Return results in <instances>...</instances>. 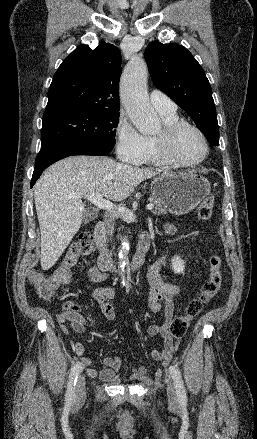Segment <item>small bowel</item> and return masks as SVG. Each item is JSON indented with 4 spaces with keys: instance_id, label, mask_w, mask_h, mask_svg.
Listing matches in <instances>:
<instances>
[{
    "instance_id": "small-bowel-1",
    "label": "small bowel",
    "mask_w": 257,
    "mask_h": 439,
    "mask_svg": "<svg viewBox=\"0 0 257 439\" xmlns=\"http://www.w3.org/2000/svg\"><path fill=\"white\" fill-rule=\"evenodd\" d=\"M166 230L169 234L175 233L173 226H167ZM148 237L142 235L141 238ZM149 239V238H148ZM166 256H161L149 268L148 282H149V297L148 308L152 312L164 313V322L161 324L150 325L147 333L150 336H161L164 339V349L152 350V358L164 365L171 362L174 353L176 352L181 339L174 340L168 333L170 321L174 314V297L179 293V287L169 281H166L161 276V270L166 264ZM90 279L93 282H101L105 277L97 270H91ZM115 296V289L112 286L98 287L93 290L91 299L98 306L101 314L105 319L113 321L115 319V310L111 300ZM57 321L63 325L66 322L70 324L71 329L76 333H83L87 326L95 322V317L85 316L82 312V304L77 301H66L62 306V311L57 315ZM73 352L80 357L81 366L86 368V373L89 377H98L100 380L110 383H120L126 381H143L147 369L143 366L135 367L126 377L119 375V371L123 368V360L119 356L105 357L102 361L104 369L98 371L93 367V362L90 358L85 357L86 348L80 342L72 344Z\"/></svg>"
}]
</instances>
